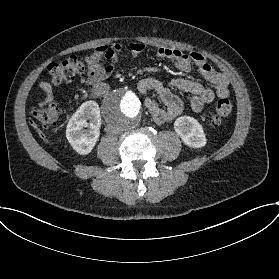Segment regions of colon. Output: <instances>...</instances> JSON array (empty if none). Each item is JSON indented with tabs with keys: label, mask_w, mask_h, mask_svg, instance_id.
<instances>
[{
	"label": "colon",
	"mask_w": 279,
	"mask_h": 279,
	"mask_svg": "<svg viewBox=\"0 0 279 279\" xmlns=\"http://www.w3.org/2000/svg\"><path fill=\"white\" fill-rule=\"evenodd\" d=\"M85 70V62L77 56H70L61 62L52 63L48 66L49 76L53 84H60L66 80L80 75ZM232 111V104L228 98H222L218 101L215 108V113L212 118L214 126L224 122ZM59 113L56 104L45 101L43 105L34 107L31 115L35 121L44 128H49L55 125L56 118Z\"/></svg>",
	"instance_id": "obj_1"
}]
</instances>
